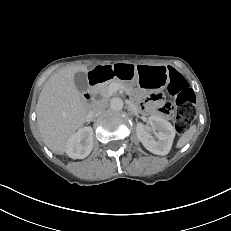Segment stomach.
<instances>
[{"instance_id": "stomach-1", "label": "stomach", "mask_w": 231, "mask_h": 231, "mask_svg": "<svg viewBox=\"0 0 231 231\" xmlns=\"http://www.w3.org/2000/svg\"><path fill=\"white\" fill-rule=\"evenodd\" d=\"M114 69H119L120 75L129 82H136L147 91L163 90L169 82V71L163 65L119 63Z\"/></svg>"}]
</instances>
